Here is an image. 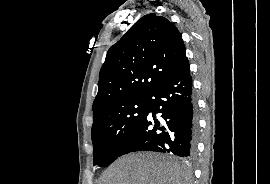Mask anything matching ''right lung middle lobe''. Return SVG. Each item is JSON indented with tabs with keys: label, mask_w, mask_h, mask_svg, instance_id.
Wrapping results in <instances>:
<instances>
[{
	"label": "right lung middle lobe",
	"mask_w": 270,
	"mask_h": 184,
	"mask_svg": "<svg viewBox=\"0 0 270 184\" xmlns=\"http://www.w3.org/2000/svg\"><path fill=\"white\" fill-rule=\"evenodd\" d=\"M147 114V97L129 100L93 122L94 165L107 167L117 157Z\"/></svg>",
	"instance_id": "obj_1"
}]
</instances>
